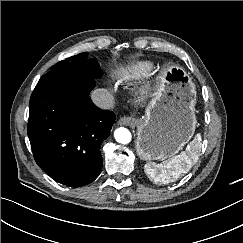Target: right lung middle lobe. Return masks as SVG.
I'll return each instance as SVG.
<instances>
[{
  "label": "right lung middle lobe",
  "mask_w": 243,
  "mask_h": 243,
  "mask_svg": "<svg viewBox=\"0 0 243 243\" xmlns=\"http://www.w3.org/2000/svg\"><path fill=\"white\" fill-rule=\"evenodd\" d=\"M87 56L88 52H84L58 62L40 80L95 79L101 77L102 70L96 59L87 60Z\"/></svg>",
  "instance_id": "right-lung-middle-lobe-1"
}]
</instances>
